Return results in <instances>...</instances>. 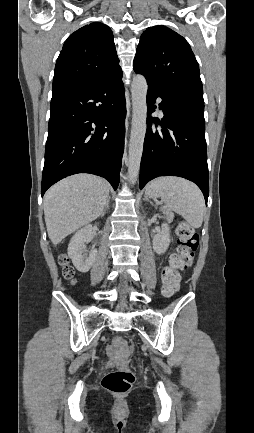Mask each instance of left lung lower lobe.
Instances as JSON below:
<instances>
[{
  "mask_svg": "<svg viewBox=\"0 0 254 433\" xmlns=\"http://www.w3.org/2000/svg\"><path fill=\"white\" fill-rule=\"evenodd\" d=\"M157 97L162 98L159 108L163 110L164 118H150L161 128L153 127L147 121L140 166V189L156 177L179 176L197 184L207 203L209 173L204 103L190 97L164 93L148 82V115L156 109L154 104Z\"/></svg>",
  "mask_w": 254,
  "mask_h": 433,
  "instance_id": "obj_1",
  "label": "left lung lower lobe"
}]
</instances>
